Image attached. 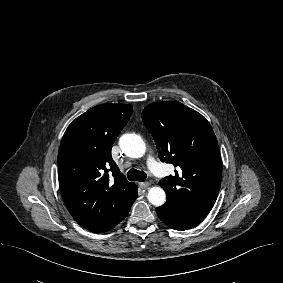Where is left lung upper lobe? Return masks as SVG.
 Returning <instances> with one entry per match:
<instances>
[{"mask_svg":"<svg viewBox=\"0 0 283 283\" xmlns=\"http://www.w3.org/2000/svg\"><path fill=\"white\" fill-rule=\"evenodd\" d=\"M142 119L161 161L180 168L159 181L167 195L163 207L204 219L216 201L222 175L212 127L200 113L176 101L151 103Z\"/></svg>","mask_w":283,"mask_h":283,"instance_id":"obj_1","label":"left lung upper lobe"}]
</instances>
